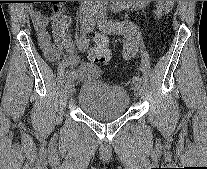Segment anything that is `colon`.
Segmentation results:
<instances>
[{
	"instance_id": "obj_1",
	"label": "colon",
	"mask_w": 207,
	"mask_h": 169,
	"mask_svg": "<svg viewBox=\"0 0 207 169\" xmlns=\"http://www.w3.org/2000/svg\"><path fill=\"white\" fill-rule=\"evenodd\" d=\"M175 1H157L156 15L167 14L173 8ZM89 59L96 65H107L111 59V51L106 37L99 35L95 38L92 48L89 50Z\"/></svg>"
}]
</instances>
